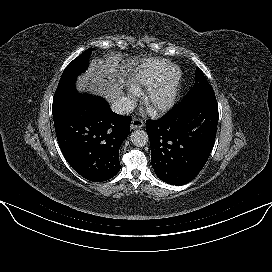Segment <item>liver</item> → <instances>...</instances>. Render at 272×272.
Returning a JSON list of instances; mask_svg holds the SVG:
<instances>
[{"label":"liver","mask_w":272,"mask_h":272,"mask_svg":"<svg viewBox=\"0 0 272 272\" xmlns=\"http://www.w3.org/2000/svg\"><path fill=\"white\" fill-rule=\"evenodd\" d=\"M136 65V59H127L125 62L121 53L111 52L105 59L94 58L87 72L79 77L77 89L114 102L123 95V89L131 81Z\"/></svg>","instance_id":"1"}]
</instances>
